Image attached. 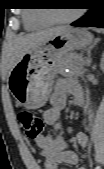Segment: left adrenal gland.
<instances>
[{
  "instance_id": "a2214340",
  "label": "left adrenal gland",
  "mask_w": 104,
  "mask_h": 169,
  "mask_svg": "<svg viewBox=\"0 0 104 169\" xmlns=\"http://www.w3.org/2000/svg\"><path fill=\"white\" fill-rule=\"evenodd\" d=\"M98 41H99V39H96V40L94 41V43L88 47V50H87V58H86V64H87V66H90V65H91V50H92V48L96 45V43H97Z\"/></svg>"
}]
</instances>
